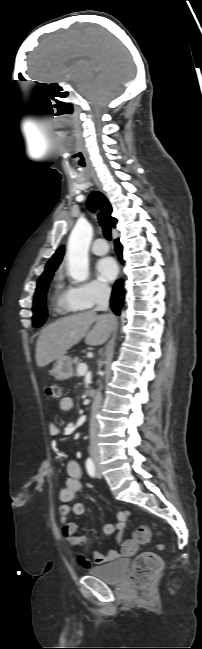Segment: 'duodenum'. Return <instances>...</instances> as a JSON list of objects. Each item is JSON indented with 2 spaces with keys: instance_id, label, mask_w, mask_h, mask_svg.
I'll list each match as a JSON object with an SVG mask.
<instances>
[{
  "instance_id": "obj_1",
  "label": "duodenum",
  "mask_w": 202,
  "mask_h": 649,
  "mask_svg": "<svg viewBox=\"0 0 202 649\" xmlns=\"http://www.w3.org/2000/svg\"><path fill=\"white\" fill-rule=\"evenodd\" d=\"M88 396L95 399L98 396V392L96 390H94V389H90V390H88Z\"/></svg>"
}]
</instances>
